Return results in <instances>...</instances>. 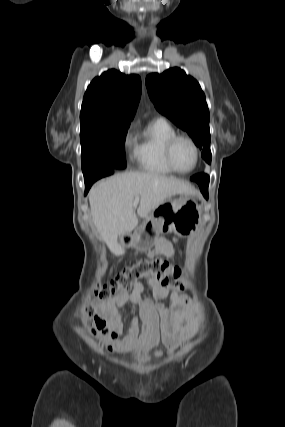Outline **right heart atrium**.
Segmentation results:
<instances>
[{
  "instance_id": "d8ad5b80",
  "label": "right heart atrium",
  "mask_w": 285,
  "mask_h": 427,
  "mask_svg": "<svg viewBox=\"0 0 285 427\" xmlns=\"http://www.w3.org/2000/svg\"><path fill=\"white\" fill-rule=\"evenodd\" d=\"M133 142V137H132V126H130L125 134L124 137V145L125 147H129Z\"/></svg>"
}]
</instances>
